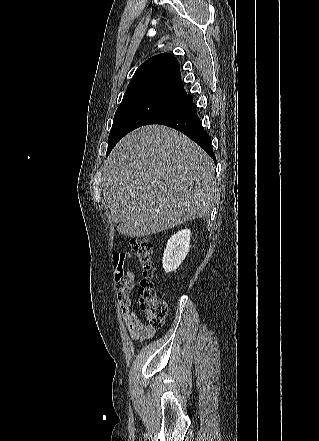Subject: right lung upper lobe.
<instances>
[{
	"label": "right lung upper lobe",
	"mask_w": 319,
	"mask_h": 441,
	"mask_svg": "<svg viewBox=\"0 0 319 441\" xmlns=\"http://www.w3.org/2000/svg\"><path fill=\"white\" fill-rule=\"evenodd\" d=\"M186 95L177 59L163 53L148 59L136 70L122 102L155 98L175 104Z\"/></svg>",
	"instance_id": "right-lung-upper-lobe-1"
}]
</instances>
